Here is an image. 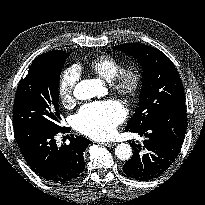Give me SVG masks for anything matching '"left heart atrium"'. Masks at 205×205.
<instances>
[{
    "mask_svg": "<svg viewBox=\"0 0 205 205\" xmlns=\"http://www.w3.org/2000/svg\"><path fill=\"white\" fill-rule=\"evenodd\" d=\"M125 117L126 110L117 101L94 102L80 109L75 125L81 133L101 140L112 136Z\"/></svg>",
    "mask_w": 205,
    "mask_h": 205,
    "instance_id": "left-heart-atrium-1",
    "label": "left heart atrium"
}]
</instances>
